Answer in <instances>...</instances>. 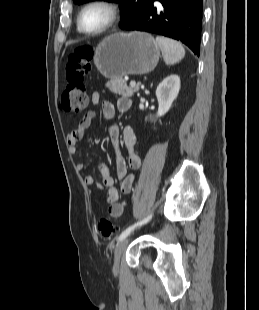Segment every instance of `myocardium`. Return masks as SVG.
Returning a JSON list of instances; mask_svg holds the SVG:
<instances>
[{
	"label": "myocardium",
	"instance_id": "obj_1",
	"mask_svg": "<svg viewBox=\"0 0 259 310\" xmlns=\"http://www.w3.org/2000/svg\"><path fill=\"white\" fill-rule=\"evenodd\" d=\"M92 7H102L105 10H107L109 14L107 22L101 28L97 30H87L82 24V16L84 12L87 9L92 8ZM119 18H120V9H119V6L115 2L111 0H92L86 3L80 9L77 15V27L79 31H81L82 33L86 35H91V36L101 35L107 32L108 30H110L112 27H114L116 23L118 22Z\"/></svg>",
	"mask_w": 259,
	"mask_h": 310
}]
</instances>
